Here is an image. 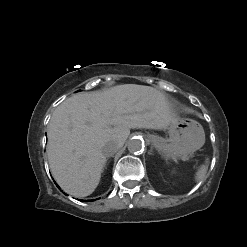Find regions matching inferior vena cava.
I'll return each instance as SVG.
<instances>
[{
  "instance_id": "1",
  "label": "inferior vena cava",
  "mask_w": 247,
  "mask_h": 247,
  "mask_svg": "<svg viewBox=\"0 0 247 247\" xmlns=\"http://www.w3.org/2000/svg\"><path fill=\"white\" fill-rule=\"evenodd\" d=\"M119 148L120 145L118 143L110 141L103 146L102 151L106 157H110L113 156L119 150Z\"/></svg>"
}]
</instances>
